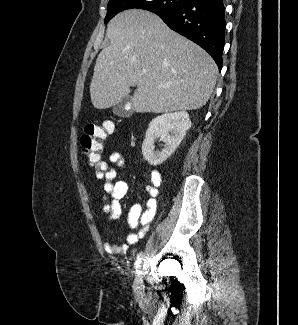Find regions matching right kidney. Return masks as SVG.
I'll use <instances>...</instances> for the list:
<instances>
[{"label":"right kidney","instance_id":"right-kidney-1","mask_svg":"<svg viewBox=\"0 0 298 325\" xmlns=\"http://www.w3.org/2000/svg\"><path fill=\"white\" fill-rule=\"evenodd\" d=\"M192 122L186 110L179 112H165L156 118H152L142 142L143 158L149 165H161L163 160L171 156L172 152L183 140L186 130L190 128ZM160 138L165 142L161 150H155V140Z\"/></svg>","mask_w":298,"mask_h":325}]
</instances>
